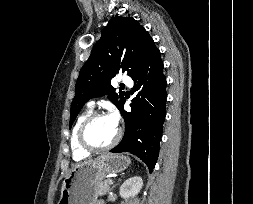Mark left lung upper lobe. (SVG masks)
I'll list each match as a JSON object with an SVG mask.
<instances>
[{
    "instance_id": "left-lung-upper-lobe-1",
    "label": "left lung upper lobe",
    "mask_w": 253,
    "mask_h": 204,
    "mask_svg": "<svg viewBox=\"0 0 253 204\" xmlns=\"http://www.w3.org/2000/svg\"><path fill=\"white\" fill-rule=\"evenodd\" d=\"M154 45L148 32L134 18H111L80 71L71 104L69 127L83 105L93 97L108 94L110 101L120 109L125 100L124 93H113L111 79L119 71L133 77Z\"/></svg>"
}]
</instances>
